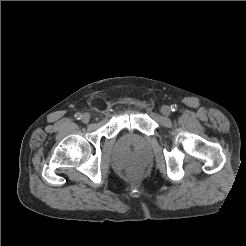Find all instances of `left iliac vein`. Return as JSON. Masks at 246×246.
I'll list each match as a JSON object with an SVG mask.
<instances>
[{"label":"left iliac vein","instance_id":"left-iliac-vein-1","mask_svg":"<svg viewBox=\"0 0 246 246\" xmlns=\"http://www.w3.org/2000/svg\"><path fill=\"white\" fill-rule=\"evenodd\" d=\"M161 113L164 115V116H169L171 114V109L169 106H163L161 108Z\"/></svg>","mask_w":246,"mask_h":246}]
</instances>
